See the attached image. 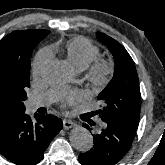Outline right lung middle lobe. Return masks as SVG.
Instances as JSON below:
<instances>
[{
  "label": "right lung middle lobe",
  "mask_w": 165,
  "mask_h": 165,
  "mask_svg": "<svg viewBox=\"0 0 165 165\" xmlns=\"http://www.w3.org/2000/svg\"><path fill=\"white\" fill-rule=\"evenodd\" d=\"M41 40L29 42L21 57L0 61V98L25 110L26 88L30 86V57Z\"/></svg>",
  "instance_id": "obj_1"
}]
</instances>
